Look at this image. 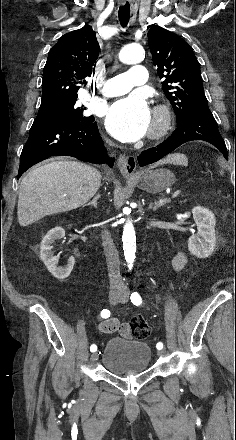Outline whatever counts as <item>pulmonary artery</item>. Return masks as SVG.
<instances>
[{"instance_id": "pulmonary-artery-1", "label": "pulmonary artery", "mask_w": 236, "mask_h": 440, "mask_svg": "<svg viewBox=\"0 0 236 440\" xmlns=\"http://www.w3.org/2000/svg\"><path fill=\"white\" fill-rule=\"evenodd\" d=\"M147 69L143 65H134L128 71L109 78L102 89V94L114 97L128 93L135 87L147 82Z\"/></svg>"}]
</instances>
